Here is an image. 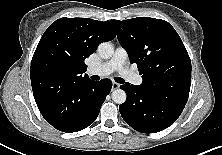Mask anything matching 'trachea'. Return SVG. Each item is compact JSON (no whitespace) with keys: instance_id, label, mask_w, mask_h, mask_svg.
I'll return each mask as SVG.
<instances>
[{"instance_id":"3493384b","label":"trachea","mask_w":222,"mask_h":155,"mask_svg":"<svg viewBox=\"0 0 222 155\" xmlns=\"http://www.w3.org/2000/svg\"><path fill=\"white\" fill-rule=\"evenodd\" d=\"M91 78H92L93 80H98V79H99V77L96 76V75L92 76ZM115 81L118 82V83H124V79L121 78V77H116V78H115Z\"/></svg>"}]
</instances>
